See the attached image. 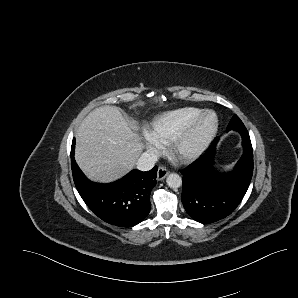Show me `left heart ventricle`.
Segmentation results:
<instances>
[{
    "instance_id": "obj_1",
    "label": "left heart ventricle",
    "mask_w": 298,
    "mask_h": 298,
    "mask_svg": "<svg viewBox=\"0 0 298 298\" xmlns=\"http://www.w3.org/2000/svg\"><path fill=\"white\" fill-rule=\"evenodd\" d=\"M212 123L213 120L211 116H206L203 120H201L195 131L187 138L185 147H193L200 139L206 136L212 128Z\"/></svg>"
}]
</instances>
